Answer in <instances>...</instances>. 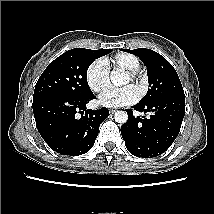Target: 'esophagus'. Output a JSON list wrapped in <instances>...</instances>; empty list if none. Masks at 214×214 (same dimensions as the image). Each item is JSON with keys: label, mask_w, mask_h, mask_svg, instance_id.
<instances>
[{"label": "esophagus", "mask_w": 214, "mask_h": 214, "mask_svg": "<svg viewBox=\"0 0 214 214\" xmlns=\"http://www.w3.org/2000/svg\"><path fill=\"white\" fill-rule=\"evenodd\" d=\"M109 112H110V114H113L115 112V110L111 109Z\"/></svg>", "instance_id": "esophagus-1"}]
</instances>
